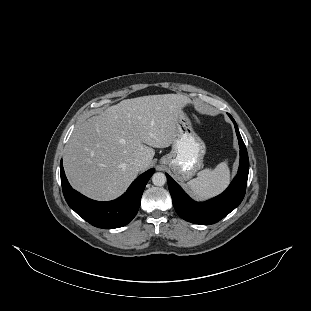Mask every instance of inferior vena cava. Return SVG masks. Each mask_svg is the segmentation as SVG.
I'll return each mask as SVG.
<instances>
[{"instance_id":"1","label":"inferior vena cava","mask_w":311,"mask_h":311,"mask_svg":"<svg viewBox=\"0 0 311 311\" xmlns=\"http://www.w3.org/2000/svg\"><path fill=\"white\" fill-rule=\"evenodd\" d=\"M141 164H142V160H141V158H137V159H135V161H134V165H136V166H141Z\"/></svg>"}]
</instances>
